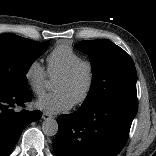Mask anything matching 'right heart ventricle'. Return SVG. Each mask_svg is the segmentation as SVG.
<instances>
[{
  "label": "right heart ventricle",
  "instance_id": "1",
  "mask_svg": "<svg viewBox=\"0 0 156 156\" xmlns=\"http://www.w3.org/2000/svg\"><path fill=\"white\" fill-rule=\"evenodd\" d=\"M81 60L82 57L72 47L59 44L47 56V73L51 78H57Z\"/></svg>",
  "mask_w": 156,
  "mask_h": 156
}]
</instances>
